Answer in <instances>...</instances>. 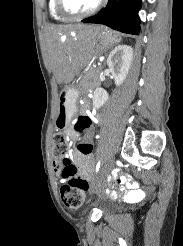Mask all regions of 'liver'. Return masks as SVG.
Here are the masks:
<instances>
[{
    "label": "liver",
    "mask_w": 183,
    "mask_h": 246,
    "mask_svg": "<svg viewBox=\"0 0 183 246\" xmlns=\"http://www.w3.org/2000/svg\"><path fill=\"white\" fill-rule=\"evenodd\" d=\"M99 28L81 24L48 27L46 33L48 56L59 84L70 82L90 61ZM69 34L73 37L71 38Z\"/></svg>",
    "instance_id": "obj_1"
}]
</instances>
